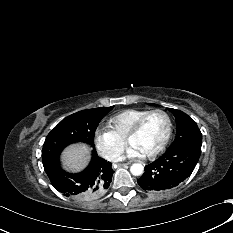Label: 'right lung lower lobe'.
<instances>
[{"label":"right lung lower lobe","mask_w":233,"mask_h":233,"mask_svg":"<svg viewBox=\"0 0 233 233\" xmlns=\"http://www.w3.org/2000/svg\"><path fill=\"white\" fill-rule=\"evenodd\" d=\"M112 163L93 153L90 164L79 173H68L56 159L44 165L52 185L66 197L78 200H90L102 195L109 187L113 170Z\"/></svg>","instance_id":"obj_1"}]
</instances>
